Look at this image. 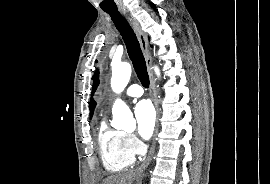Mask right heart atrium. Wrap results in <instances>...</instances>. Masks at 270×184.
<instances>
[{"label":"right heart atrium","instance_id":"d8ad5b80","mask_svg":"<svg viewBox=\"0 0 270 184\" xmlns=\"http://www.w3.org/2000/svg\"><path fill=\"white\" fill-rule=\"evenodd\" d=\"M126 139L129 147L135 152L140 153L142 150V145L139 140L132 134H126Z\"/></svg>","mask_w":270,"mask_h":184}]
</instances>
